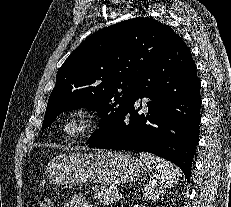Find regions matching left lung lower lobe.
I'll return each mask as SVG.
<instances>
[{
  "label": "left lung lower lobe",
  "instance_id": "obj_1",
  "mask_svg": "<svg viewBox=\"0 0 231 207\" xmlns=\"http://www.w3.org/2000/svg\"><path fill=\"white\" fill-rule=\"evenodd\" d=\"M138 95L119 128L89 147L153 153L177 164L187 180L199 141L200 81L190 49L179 37L138 80ZM149 98L148 113L139 114L136 101Z\"/></svg>",
  "mask_w": 231,
  "mask_h": 207
}]
</instances>
